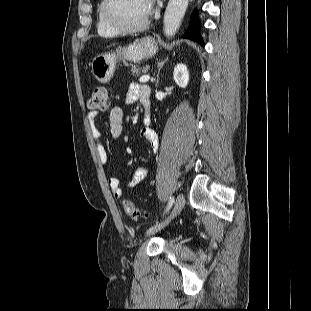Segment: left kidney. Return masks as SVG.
Segmentation results:
<instances>
[{"mask_svg": "<svg viewBox=\"0 0 311 311\" xmlns=\"http://www.w3.org/2000/svg\"><path fill=\"white\" fill-rule=\"evenodd\" d=\"M173 78L176 84L181 88H186L189 82V72L184 64H177L174 68Z\"/></svg>", "mask_w": 311, "mask_h": 311, "instance_id": "5707ae66", "label": "left kidney"}]
</instances>
